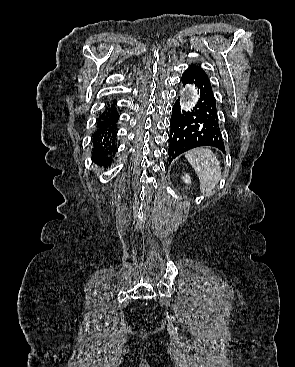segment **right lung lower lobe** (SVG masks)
<instances>
[{
  "label": "right lung lower lobe",
  "mask_w": 295,
  "mask_h": 367,
  "mask_svg": "<svg viewBox=\"0 0 295 367\" xmlns=\"http://www.w3.org/2000/svg\"><path fill=\"white\" fill-rule=\"evenodd\" d=\"M116 100H113L111 105H107L104 112L99 116L96 131L93 135V154L92 158L103 161H112V156L115 155L117 127L116 123L119 119V114L116 110Z\"/></svg>",
  "instance_id": "right-lung-lower-lobe-1"
}]
</instances>
